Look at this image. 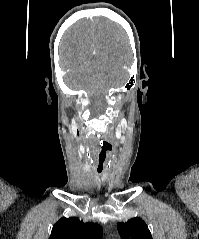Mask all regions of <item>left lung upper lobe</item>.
Here are the masks:
<instances>
[{
	"mask_svg": "<svg viewBox=\"0 0 199 239\" xmlns=\"http://www.w3.org/2000/svg\"><path fill=\"white\" fill-rule=\"evenodd\" d=\"M121 239H152L151 233L140 218H133L126 223L117 224Z\"/></svg>",
	"mask_w": 199,
	"mask_h": 239,
	"instance_id": "5c2ea615",
	"label": "left lung upper lobe"
}]
</instances>
